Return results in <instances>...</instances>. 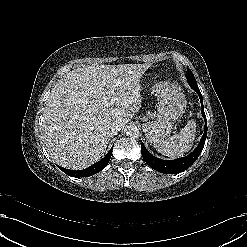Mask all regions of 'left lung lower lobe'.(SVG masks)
I'll use <instances>...</instances> for the list:
<instances>
[{"label":"left lung lower lobe","mask_w":247,"mask_h":247,"mask_svg":"<svg viewBox=\"0 0 247 247\" xmlns=\"http://www.w3.org/2000/svg\"><path fill=\"white\" fill-rule=\"evenodd\" d=\"M190 87L197 92L199 98H200V102H201V106H202V115L205 119V131L204 134L200 140L199 145L197 146V148L188 156H185L183 158H179V159H175V160H162L159 159L155 156H153L152 154H150L145 146L143 144H141V153H142V157L144 159V161L154 170L161 172V173H167V174H175V173H180L186 169H188L199 157L200 153L203 150L204 144H205V140L207 137V120H206V116L204 113V109H203V101H202V95L200 93V90L197 86V84H191L189 83Z\"/></svg>","instance_id":"1"}]
</instances>
